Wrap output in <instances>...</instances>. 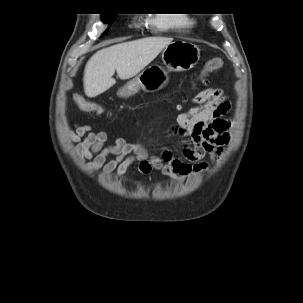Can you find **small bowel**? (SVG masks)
<instances>
[{"label":"small bowel","instance_id":"c3829d8e","mask_svg":"<svg viewBox=\"0 0 303 303\" xmlns=\"http://www.w3.org/2000/svg\"><path fill=\"white\" fill-rule=\"evenodd\" d=\"M189 103L194 106L179 114L170 134L180 138L183 158L194 161V165L174 157L167 145H163L159 155H149L142 144L128 142L122 137H113L114 142L107 144L108 134L105 131L95 132L89 125L75 124L68 137L75 142L79 160L86 162L89 170L101 171L104 177L116 173L121 179L130 167L137 165L140 175L147 176L158 170L177 182L206 169L209 162L203 161L205 156H209L211 163L215 162L229 140V123L220 121L228 108L221 90L207 88L190 98ZM110 156L115 158L108 160Z\"/></svg>","mask_w":303,"mask_h":303}]
</instances>
